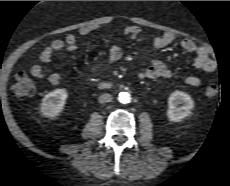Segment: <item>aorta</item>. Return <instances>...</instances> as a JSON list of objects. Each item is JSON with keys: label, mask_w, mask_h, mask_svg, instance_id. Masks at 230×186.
Segmentation results:
<instances>
[{"label": "aorta", "mask_w": 230, "mask_h": 186, "mask_svg": "<svg viewBox=\"0 0 230 186\" xmlns=\"http://www.w3.org/2000/svg\"><path fill=\"white\" fill-rule=\"evenodd\" d=\"M118 100L120 103L128 104L131 102V95L128 92H120L118 95Z\"/></svg>", "instance_id": "aorta-1"}]
</instances>
